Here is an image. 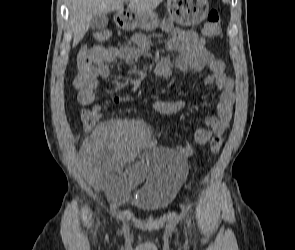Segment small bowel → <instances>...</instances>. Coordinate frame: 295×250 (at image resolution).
I'll return each instance as SVG.
<instances>
[{"label":"small bowel","mask_w":295,"mask_h":250,"mask_svg":"<svg viewBox=\"0 0 295 250\" xmlns=\"http://www.w3.org/2000/svg\"><path fill=\"white\" fill-rule=\"evenodd\" d=\"M161 29L171 34L166 46L169 55L160 57L154 69L155 75L168 79L174 68L182 72H201L207 70L206 85H213L219 91L216 114L205 119L208 128H200L195 132V141L206 145L213 140L222 142L223 134L228 128L234 105V83L225 74V64L216 58L205 46V39L191 30L175 28L171 23L163 21ZM133 45L100 46L90 48L88 62L78 63V74L74 79L77 100L81 105H94L95 90L99 80L107 81L110 77L109 63L120 60L134 61L149 50L146 39L142 35L132 38ZM129 96H117L114 102H122ZM186 103L181 100L157 101L153 108L162 115H173L181 111ZM100 110L99 105H94ZM155 140L149 126L139 119L112 120L100 125L83 144L82 170L84 175L95 182L111 196L124 200L128 194L146 178L147 170L142 159H137L142 149L151 148ZM185 156L192 153V147L186 143L178 147ZM133 163L116 174L115 170L123 163Z\"/></svg>","instance_id":"obj_1"}]
</instances>
